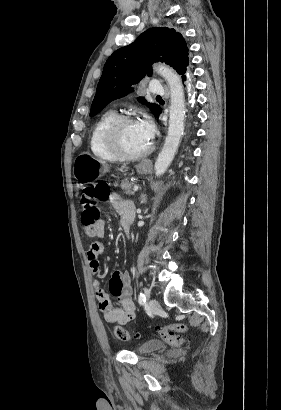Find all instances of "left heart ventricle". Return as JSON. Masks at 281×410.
<instances>
[{
	"mask_svg": "<svg viewBox=\"0 0 281 410\" xmlns=\"http://www.w3.org/2000/svg\"><path fill=\"white\" fill-rule=\"evenodd\" d=\"M118 138L121 145L129 152H139L149 146L134 121L124 122L118 131Z\"/></svg>",
	"mask_w": 281,
	"mask_h": 410,
	"instance_id": "left-heart-ventricle-1",
	"label": "left heart ventricle"
}]
</instances>
